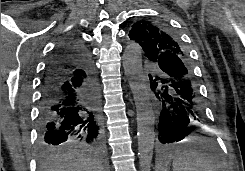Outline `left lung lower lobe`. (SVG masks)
I'll use <instances>...</instances> for the list:
<instances>
[{"mask_svg": "<svg viewBox=\"0 0 245 171\" xmlns=\"http://www.w3.org/2000/svg\"><path fill=\"white\" fill-rule=\"evenodd\" d=\"M162 74L149 75L151 89L160 99L158 140L161 144L181 141L192 126H203L205 112L189 63L173 54L162 55L156 62Z\"/></svg>", "mask_w": 245, "mask_h": 171, "instance_id": "left-lung-lower-lobe-1", "label": "left lung lower lobe"}]
</instances>
